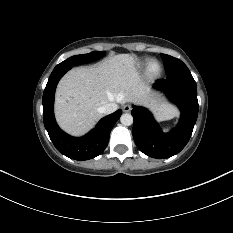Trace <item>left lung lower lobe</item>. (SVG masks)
I'll return each instance as SVG.
<instances>
[{
	"instance_id": "1",
	"label": "left lung lower lobe",
	"mask_w": 233,
	"mask_h": 233,
	"mask_svg": "<svg viewBox=\"0 0 233 233\" xmlns=\"http://www.w3.org/2000/svg\"><path fill=\"white\" fill-rule=\"evenodd\" d=\"M154 87L179 107L180 122L164 133L147 109L133 106V138L144 154L164 159L179 153L191 137L198 116L197 86L192 75H176L157 80Z\"/></svg>"
}]
</instances>
